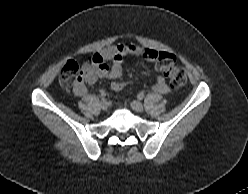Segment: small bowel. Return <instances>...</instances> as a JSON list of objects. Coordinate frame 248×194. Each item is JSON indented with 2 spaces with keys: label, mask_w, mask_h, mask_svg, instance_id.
<instances>
[{
  "label": "small bowel",
  "mask_w": 248,
  "mask_h": 194,
  "mask_svg": "<svg viewBox=\"0 0 248 194\" xmlns=\"http://www.w3.org/2000/svg\"><path fill=\"white\" fill-rule=\"evenodd\" d=\"M155 53L152 49H145L134 44L108 46L85 60L81 79L75 84L74 93L77 96L85 95L86 85L94 84L98 78H119L122 75V65L126 56L140 55L152 61ZM152 89L160 94H166L170 90L162 76H157Z\"/></svg>",
  "instance_id": "obj_1"
}]
</instances>
